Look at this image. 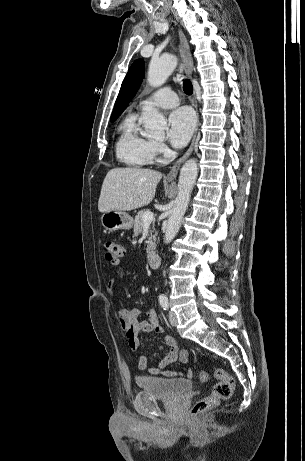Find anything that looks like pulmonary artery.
<instances>
[{
    "instance_id": "e3ab8cb5",
    "label": "pulmonary artery",
    "mask_w": 305,
    "mask_h": 461,
    "mask_svg": "<svg viewBox=\"0 0 305 461\" xmlns=\"http://www.w3.org/2000/svg\"><path fill=\"white\" fill-rule=\"evenodd\" d=\"M179 104L177 94L170 87H163L143 98L139 102L140 108L157 106L162 108H173Z\"/></svg>"
}]
</instances>
